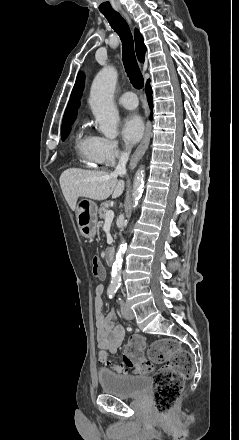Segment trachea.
Segmentation results:
<instances>
[{
	"label": "trachea",
	"instance_id": "1",
	"mask_svg": "<svg viewBox=\"0 0 239 440\" xmlns=\"http://www.w3.org/2000/svg\"><path fill=\"white\" fill-rule=\"evenodd\" d=\"M103 15L122 41V61L131 84L137 90H141L144 87V78L136 60L134 40L126 20L118 12L105 13Z\"/></svg>",
	"mask_w": 239,
	"mask_h": 440
}]
</instances>
